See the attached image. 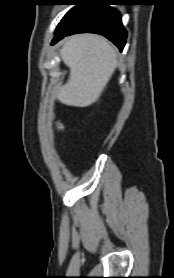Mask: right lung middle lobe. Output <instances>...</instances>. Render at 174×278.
<instances>
[{"mask_svg": "<svg viewBox=\"0 0 174 278\" xmlns=\"http://www.w3.org/2000/svg\"><path fill=\"white\" fill-rule=\"evenodd\" d=\"M66 1H67V4H73V2H74L75 0H66ZM71 10H72V9H71ZM71 10L62 18V20L60 21V23L58 24V26L64 22V20L67 18L68 14L71 12Z\"/></svg>", "mask_w": 174, "mask_h": 278, "instance_id": "right-lung-middle-lobe-1", "label": "right lung middle lobe"}]
</instances>
